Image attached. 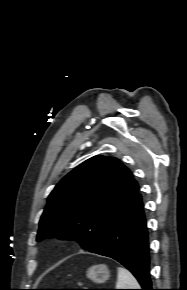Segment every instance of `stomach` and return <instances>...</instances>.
Returning a JSON list of instances; mask_svg holds the SVG:
<instances>
[{"mask_svg": "<svg viewBox=\"0 0 187 290\" xmlns=\"http://www.w3.org/2000/svg\"><path fill=\"white\" fill-rule=\"evenodd\" d=\"M87 277L94 283H104L110 277V272L106 265H93L87 270Z\"/></svg>", "mask_w": 187, "mask_h": 290, "instance_id": "0dacf381", "label": "stomach"}]
</instances>
